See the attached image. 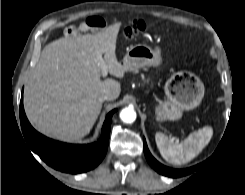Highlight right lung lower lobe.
Here are the masks:
<instances>
[{
	"instance_id": "98d812e1",
	"label": "right lung lower lobe",
	"mask_w": 245,
	"mask_h": 195,
	"mask_svg": "<svg viewBox=\"0 0 245 195\" xmlns=\"http://www.w3.org/2000/svg\"><path fill=\"white\" fill-rule=\"evenodd\" d=\"M20 123L22 132L30 148L52 168L61 172L78 174L95 168L105 157L111 119L115 110L111 111L103 124L100 139L88 145H72L49 139L30 125L23 108V97L20 102Z\"/></svg>"
}]
</instances>
